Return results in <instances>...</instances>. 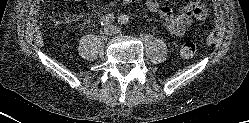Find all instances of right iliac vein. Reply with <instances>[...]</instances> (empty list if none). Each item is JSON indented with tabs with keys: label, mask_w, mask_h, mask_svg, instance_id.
<instances>
[{
	"label": "right iliac vein",
	"mask_w": 249,
	"mask_h": 123,
	"mask_svg": "<svg viewBox=\"0 0 249 123\" xmlns=\"http://www.w3.org/2000/svg\"><path fill=\"white\" fill-rule=\"evenodd\" d=\"M104 32H105V34H106L107 36H111V35H113V34L115 33L113 27H107V28L105 29Z\"/></svg>",
	"instance_id": "63e3f726"
}]
</instances>
